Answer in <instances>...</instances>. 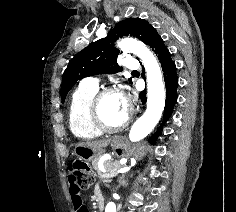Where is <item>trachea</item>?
Listing matches in <instances>:
<instances>
[{
	"label": "trachea",
	"mask_w": 236,
	"mask_h": 212,
	"mask_svg": "<svg viewBox=\"0 0 236 212\" xmlns=\"http://www.w3.org/2000/svg\"><path fill=\"white\" fill-rule=\"evenodd\" d=\"M138 71H132V73H137Z\"/></svg>",
	"instance_id": "3493384b"
}]
</instances>
